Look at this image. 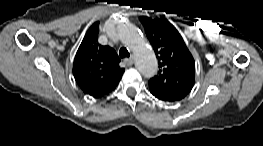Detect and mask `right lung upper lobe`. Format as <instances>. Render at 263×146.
Here are the masks:
<instances>
[{
	"instance_id": "obj_1",
	"label": "right lung upper lobe",
	"mask_w": 263,
	"mask_h": 146,
	"mask_svg": "<svg viewBox=\"0 0 263 146\" xmlns=\"http://www.w3.org/2000/svg\"><path fill=\"white\" fill-rule=\"evenodd\" d=\"M98 33V23H94L84 36L73 63L77 84L85 94L94 98L115 89L124 72L115 50L98 43Z\"/></svg>"
}]
</instances>
